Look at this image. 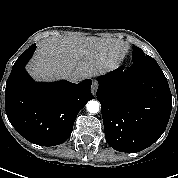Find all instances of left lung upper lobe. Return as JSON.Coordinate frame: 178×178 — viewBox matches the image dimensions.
<instances>
[{
    "instance_id": "5c2ea615",
    "label": "left lung upper lobe",
    "mask_w": 178,
    "mask_h": 178,
    "mask_svg": "<svg viewBox=\"0 0 178 178\" xmlns=\"http://www.w3.org/2000/svg\"><path fill=\"white\" fill-rule=\"evenodd\" d=\"M152 58L148 55H146L141 48L139 47H133L132 51V61H139V60H144V59H149Z\"/></svg>"
}]
</instances>
